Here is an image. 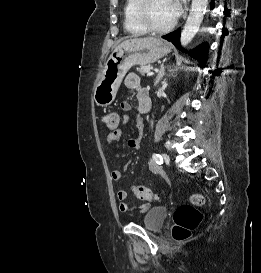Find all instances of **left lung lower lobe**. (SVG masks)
I'll list each match as a JSON object with an SVG mask.
<instances>
[{
    "label": "left lung lower lobe",
    "instance_id": "0a47b994",
    "mask_svg": "<svg viewBox=\"0 0 261 273\" xmlns=\"http://www.w3.org/2000/svg\"><path fill=\"white\" fill-rule=\"evenodd\" d=\"M214 8V0L211 1V9ZM162 38L171 41L178 49H181L180 46V30L171 32L165 36H162ZM192 57L197 59L201 65L202 68L205 67V63L207 60V54H208V44H202L198 46L196 49L191 51L189 53Z\"/></svg>",
    "mask_w": 261,
    "mask_h": 273
}]
</instances>
